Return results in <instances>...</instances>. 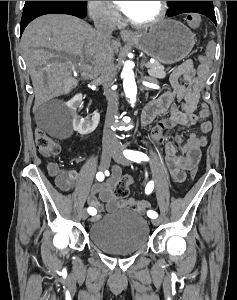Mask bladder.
Returning a JSON list of instances; mask_svg holds the SVG:
<instances>
[{
  "label": "bladder",
  "instance_id": "bladder-1",
  "mask_svg": "<svg viewBox=\"0 0 237 300\" xmlns=\"http://www.w3.org/2000/svg\"><path fill=\"white\" fill-rule=\"evenodd\" d=\"M150 226L139 213L124 209L104 216L88 229V239L98 249L111 254H134L148 243Z\"/></svg>",
  "mask_w": 237,
  "mask_h": 300
}]
</instances>
